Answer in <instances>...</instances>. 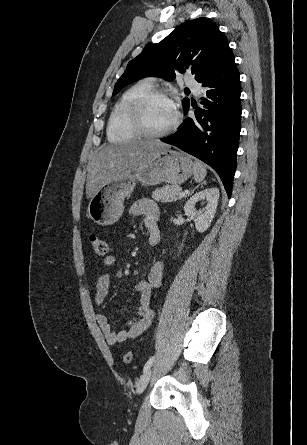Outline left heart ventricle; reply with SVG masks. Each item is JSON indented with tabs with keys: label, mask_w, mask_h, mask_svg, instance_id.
<instances>
[{
	"label": "left heart ventricle",
	"mask_w": 307,
	"mask_h": 445,
	"mask_svg": "<svg viewBox=\"0 0 307 445\" xmlns=\"http://www.w3.org/2000/svg\"><path fill=\"white\" fill-rule=\"evenodd\" d=\"M175 117L172 104L163 99L151 101L145 110V119L150 130L161 132L170 126Z\"/></svg>",
	"instance_id": "obj_1"
}]
</instances>
